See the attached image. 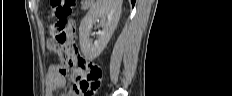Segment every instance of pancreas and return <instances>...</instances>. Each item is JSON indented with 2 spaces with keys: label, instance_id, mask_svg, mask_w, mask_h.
Here are the masks:
<instances>
[{
  "label": "pancreas",
  "instance_id": "pancreas-1",
  "mask_svg": "<svg viewBox=\"0 0 232 96\" xmlns=\"http://www.w3.org/2000/svg\"><path fill=\"white\" fill-rule=\"evenodd\" d=\"M91 4L90 3H85V4H82V10H85L87 9Z\"/></svg>",
  "mask_w": 232,
  "mask_h": 96
}]
</instances>
